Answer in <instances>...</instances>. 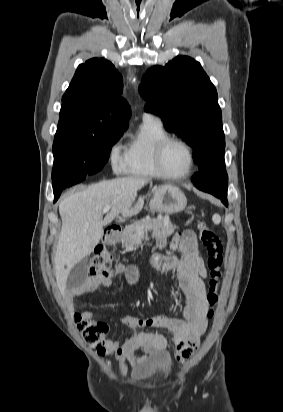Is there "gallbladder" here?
Wrapping results in <instances>:
<instances>
[{
    "mask_svg": "<svg viewBox=\"0 0 283 412\" xmlns=\"http://www.w3.org/2000/svg\"><path fill=\"white\" fill-rule=\"evenodd\" d=\"M88 268H89V262L88 258L82 259L80 262L75 264L71 271L69 272V275L67 277V287L68 288H77L82 285L84 280L88 276Z\"/></svg>",
    "mask_w": 283,
    "mask_h": 412,
    "instance_id": "gallbladder-1",
    "label": "gallbladder"
}]
</instances>
